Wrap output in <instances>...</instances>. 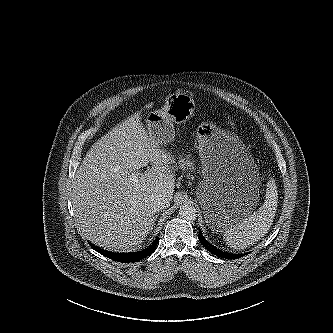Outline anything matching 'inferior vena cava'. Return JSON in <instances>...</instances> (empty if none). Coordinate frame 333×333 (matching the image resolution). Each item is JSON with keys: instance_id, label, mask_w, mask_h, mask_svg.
Segmentation results:
<instances>
[{"instance_id": "inferior-vena-cava-1", "label": "inferior vena cava", "mask_w": 333, "mask_h": 333, "mask_svg": "<svg viewBox=\"0 0 333 333\" xmlns=\"http://www.w3.org/2000/svg\"><path fill=\"white\" fill-rule=\"evenodd\" d=\"M170 206V200L163 194H157L153 199V208L155 211L166 209Z\"/></svg>"}]
</instances>
